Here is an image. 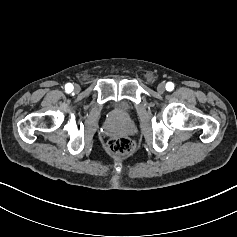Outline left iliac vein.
I'll return each instance as SVG.
<instances>
[{
  "label": "left iliac vein",
  "mask_w": 237,
  "mask_h": 237,
  "mask_svg": "<svg viewBox=\"0 0 237 237\" xmlns=\"http://www.w3.org/2000/svg\"><path fill=\"white\" fill-rule=\"evenodd\" d=\"M157 91H158L160 94L164 93V91H165V84H164V83L158 84V86H157Z\"/></svg>",
  "instance_id": "left-iliac-vein-1"
}]
</instances>
